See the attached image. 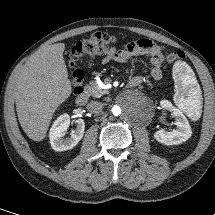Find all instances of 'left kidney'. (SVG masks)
Instances as JSON below:
<instances>
[{
    "mask_svg": "<svg viewBox=\"0 0 215 215\" xmlns=\"http://www.w3.org/2000/svg\"><path fill=\"white\" fill-rule=\"evenodd\" d=\"M186 67L189 69L187 65ZM160 104L175 117L177 128L172 131L158 130L154 133V138L165 145H177L188 140L192 135V130L185 115L168 100H162Z\"/></svg>",
    "mask_w": 215,
    "mask_h": 215,
    "instance_id": "left-kidney-1",
    "label": "left kidney"
}]
</instances>
